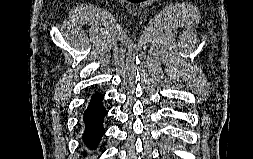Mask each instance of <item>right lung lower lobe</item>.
I'll use <instances>...</instances> for the list:
<instances>
[{"label":"right lung lower lobe","instance_id":"98d812e1","mask_svg":"<svg viewBox=\"0 0 253 159\" xmlns=\"http://www.w3.org/2000/svg\"><path fill=\"white\" fill-rule=\"evenodd\" d=\"M103 97L102 94L95 93L84 113L85 132L83 141L91 149L99 143L105 133L102 123L107 111L102 105Z\"/></svg>","mask_w":253,"mask_h":159}]
</instances>
